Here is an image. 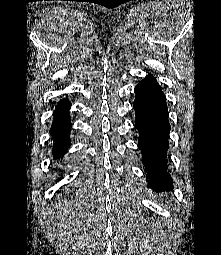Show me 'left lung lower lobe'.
Listing matches in <instances>:
<instances>
[{
    "instance_id": "0a47b994",
    "label": "left lung lower lobe",
    "mask_w": 221,
    "mask_h": 255,
    "mask_svg": "<svg viewBox=\"0 0 221 255\" xmlns=\"http://www.w3.org/2000/svg\"><path fill=\"white\" fill-rule=\"evenodd\" d=\"M134 91L135 127L139 131L138 146L143 155L142 161L146 167L149 187L157 190L170 189L172 181L166 171L165 159L170 124L164 93L151 75L142 80Z\"/></svg>"
}]
</instances>
